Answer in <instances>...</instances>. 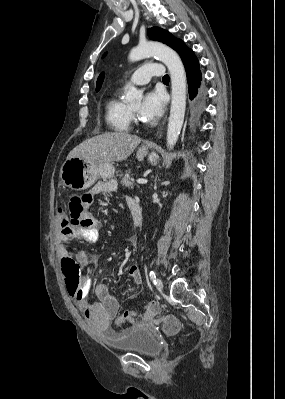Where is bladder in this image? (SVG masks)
Returning a JSON list of instances; mask_svg holds the SVG:
<instances>
[{"mask_svg": "<svg viewBox=\"0 0 285 399\" xmlns=\"http://www.w3.org/2000/svg\"><path fill=\"white\" fill-rule=\"evenodd\" d=\"M106 345L121 352L156 356L161 351V345L155 335L148 329L136 326L122 334L105 333Z\"/></svg>", "mask_w": 285, "mask_h": 399, "instance_id": "1", "label": "bladder"}]
</instances>
